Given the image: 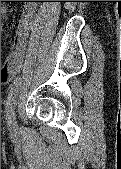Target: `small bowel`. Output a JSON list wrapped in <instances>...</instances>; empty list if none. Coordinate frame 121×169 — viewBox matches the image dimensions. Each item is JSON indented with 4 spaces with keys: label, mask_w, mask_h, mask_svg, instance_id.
I'll return each mask as SVG.
<instances>
[{
    "label": "small bowel",
    "mask_w": 121,
    "mask_h": 169,
    "mask_svg": "<svg viewBox=\"0 0 121 169\" xmlns=\"http://www.w3.org/2000/svg\"><path fill=\"white\" fill-rule=\"evenodd\" d=\"M1 16L3 19L7 18V6L5 1H1ZM35 14V6L27 3L18 20L16 28V41L12 48V52L6 58L1 66V81L8 82L14 76L19 74L23 68L24 61L27 55V47L29 43V32L33 25V17Z\"/></svg>",
    "instance_id": "1"
}]
</instances>
